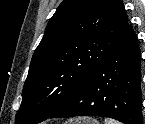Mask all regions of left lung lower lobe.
Wrapping results in <instances>:
<instances>
[{"mask_svg": "<svg viewBox=\"0 0 145 124\" xmlns=\"http://www.w3.org/2000/svg\"><path fill=\"white\" fill-rule=\"evenodd\" d=\"M140 62L137 39L129 26L77 93L49 118L100 116L124 124H143Z\"/></svg>", "mask_w": 145, "mask_h": 124, "instance_id": "left-lung-lower-lobe-1", "label": "left lung lower lobe"}]
</instances>
